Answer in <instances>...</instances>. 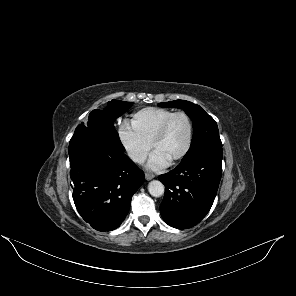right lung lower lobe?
<instances>
[{
	"label": "right lung lower lobe",
	"instance_id": "1",
	"mask_svg": "<svg viewBox=\"0 0 296 296\" xmlns=\"http://www.w3.org/2000/svg\"><path fill=\"white\" fill-rule=\"evenodd\" d=\"M118 133L92 124L77 126L69 144L73 199L82 218L98 231L124 221L144 173L124 155Z\"/></svg>",
	"mask_w": 296,
	"mask_h": 296
}]
</instances>
